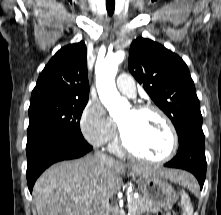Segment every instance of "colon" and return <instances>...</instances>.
<instances>
[{"instance_id": "1", "label": "colon", "mask_w": 221, "mask_h": 215, "mask_svg": "<svg viewBox=\"0 0 221 215\" xmlns=\"http://www.w3.org/2000/svg\"><path fill=\"white\" fill-rule=\"evenodd\" d=\"M158 215H176V214L173 212H169V213H159Z\"/></svg>"}]
</instances>
